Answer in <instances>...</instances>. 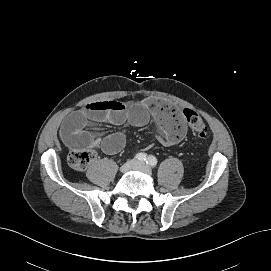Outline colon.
<instances>
[{
  "mask_svg": "<svg viewBox=\"0 0 271 271\" xmlns=\"http://www.w3.org/2000/svg\"><path fill=\"white\" fill-rule=\"evenodd\" d=\"M190 129L201 137H205L208 128L201 116L191 109H184L182 112ZM95 153L90 149H75L69 153L68 162L76 170H84L94 159Z\"/></svg>",
  "mask_w": 271,
  "mask_h": 271,
  "instance_id": "colon-1",
  "label": "colon"
}]
</instances>
